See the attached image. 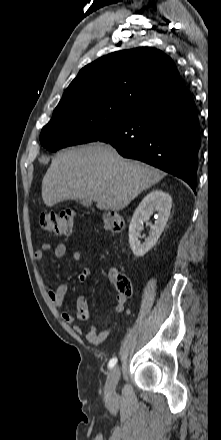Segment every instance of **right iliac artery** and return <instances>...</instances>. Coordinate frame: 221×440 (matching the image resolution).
<instances>
[{
    "label": "right iliac artery",
    "instance_id": "right-iliac-artery-1",
    "mask_svg": "<svg viewBox=\"0 0 221 440\" xmlns=\"http://www.w3.org/2000/svg\"><path fill=\"white\" fill-rule=\"evenodd\" d=\"M116 363H117V358H112L109 361L108 367L111 369V368H113L116 365Z\"/></svg>",
    "mask_w": 221,
    "mask_h": 440
}]
</instances>
